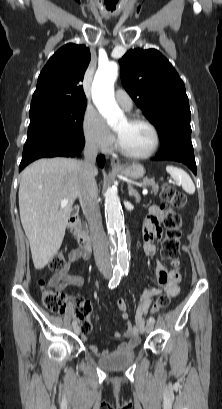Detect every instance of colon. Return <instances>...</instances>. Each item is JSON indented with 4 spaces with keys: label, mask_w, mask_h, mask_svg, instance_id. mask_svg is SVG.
Segmentation results:
<instances>
[{
    "label": "colon",
    "mask_w": 222,
    "mask_h": 409,
    "mask_svg": "<svg viewBox=\"0 0 222 409\" xmlns=\"http://www.w3.org/2000/svg\"><path fill=\"white\" fill-rule=\"evenodd\" d=\"M160 196L165 203L163 225L165 236L161 244L162 255L171 262L174 256H180V242L182 238V220L178 210L186 205V196L176 189L170 183H163L160 189ZM66 266V257L63 251L57 252L49 263V269L52 271H61ZM41 287V299L45 308L54 313H64L69 308V300L65 294L58 290L48 287L43 280L39 281ZM170 302V296L163 294L159 296L156 303H153L147 313L156 314L162 311ZM90 307L87 304L81 305L76 309L77 318L80 320L85 334L91 330Z\"/></svg>",
    "instance_id": "obj_1"
}]
</instances>
